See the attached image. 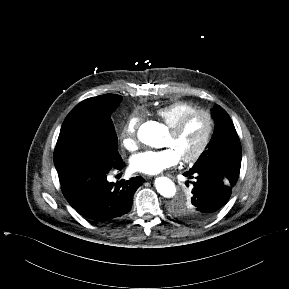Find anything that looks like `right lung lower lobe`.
<instances>
[{"label": "right lung lower lobe", "mask_w": 289, "mask_h": 289, "mask_svg": "<svg viewBox=\"0 0 289 289\" xmlns=\"http://www.w3.org/2000/svg\"><path fill=\"white\" fill-rule=\"evenodd\" d=\"M123 166L121 160L111 169L121 170ZM111 169L78 166L58 172L66 200L89 221L104 223L127 214L135 191L144 182L138 176L109 183L107 174Z\"/></svg>", "instance_id": "1"}]
</instances>
